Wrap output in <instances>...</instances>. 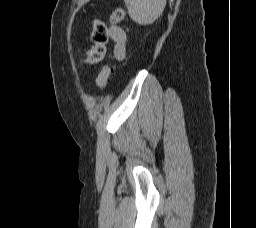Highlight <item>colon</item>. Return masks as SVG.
<instances>
[{
  "mask_svg": "<svg viewBox=\"0 0 256 228\" xmlns=\"http://www.w3.org/2000/svg\"><path fill=\"white\" fill-rule=\"evenodd\" d=\"M126 17V11L123 7H118L111 13V21L114 24H118L124 20ZM91 40L93 42L92 49L87 53L85 58L83 59L84 63H99L101 62L106 53V46L108 42V29L105 23L99 19L94 20ZM114 71V67L110 64L105 65L99 76L97 77V85L103 90L106 88L108 81L110 79L111 74Z\"/></svg>",
  "mask_w": 256,
  "mask_h": 228,
  "instance_id": "colon-1",
  "label": "colon"
}]
</instances>
